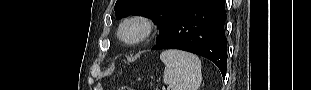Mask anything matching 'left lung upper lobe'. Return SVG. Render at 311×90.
<instances>
[{
    "label": "left lung upper lobe",
    "mask_w": 311,
    "mask_h": 90,
    "mask_svg": "<svg viewBox=\"0 0 311 90\" xmlns=\"http://www.w3.org/2000/svg\"><path fill=\"white\" fill-rule=\"evenodd\" d=\"M199 0H117L114 10L116 18L141 15L153 19L159 26V42L172 24L185 10Z\"/></svg>",
    "instance_id": "obj_1"
}]
</instances>
